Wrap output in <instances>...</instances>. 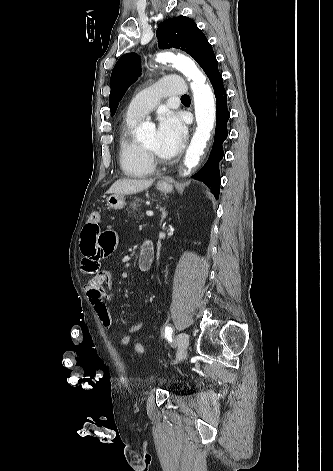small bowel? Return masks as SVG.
I'll return each instance as SVG.
<instances>
[{
	"mask_svg": "<svg viewBox=\"0 0 333 471\" xmlns=\"http://www.w3.org/2000/svg\"><path fill=\"white\" fill-rule=\"evenodd\" d=\"M117 238L114 232H101L99 222L92 224L89 221L85 224L81 235V267L89 278L85 284V292L89 303L95 314L105 328L113 325L112 317L108 311L106 300L112 297V274L109 270L101 267V260L108 256L115 248ZM107 284L109 290H105L103 285ZM141 323L135 321L129 328V333L140 330ZM131 342L129 334L123 335L120 343L128 346Z\"/></svg>",
	"mask_w": 333,
	"mask_h": 471,
	"instance_id": "c3829d8e",
	"label": "small bowel"
}]
</instances>
